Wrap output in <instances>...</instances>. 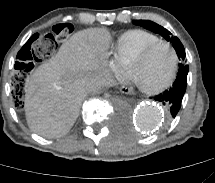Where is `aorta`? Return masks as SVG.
Masks as SVG:
<instances>
[{
	"label": "aorta",
	"mask_w": 215,
	"mask_h": 183,
	"mask_svg": "<svg viewBox=\"0 0 215 183\" xmlns=\"http://www.w3.org/2000/svg\"><path fill=\"white\" fill-rule=\"evenodd\" d=\"M135 123L144 130H154L162 123V108L153 103H142L135 108Z\"/></svg>",
	"instance_id": "1"
}]
</instances>
